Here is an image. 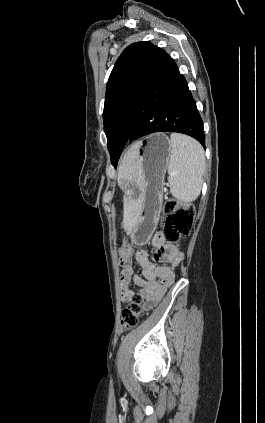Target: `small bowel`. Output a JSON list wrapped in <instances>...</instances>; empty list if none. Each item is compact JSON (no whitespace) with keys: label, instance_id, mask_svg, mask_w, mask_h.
Listing matches in <instances>:
<instances>
[{"label":"small bowel","instance_id":"1","mask_svg":"<svg viewBox=\"0 0 265 423\" xmlns=\"http://www.w3.org/2000/svg\"><path fill=\"white\" fill-rule=\"evenodd\" d=\"M151 245L156 249L154 261L149 259L145 250L136 252L135 257L142 269V275L135 273L132 265V249L128 256H120V294L123 303L130 304L135 294L145 300L143 308L151 310L164 296L174 280L173 269L183 260L184 253L177 247L165 242L164 234L155 232L151 237ZM168 263L169 265H167ZM134 283L136 291L131 289Z\"/></svg>","mask_w":265,"mask_h":423}]
</instances>
